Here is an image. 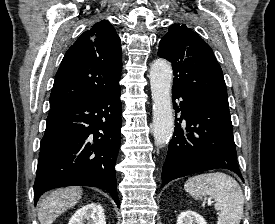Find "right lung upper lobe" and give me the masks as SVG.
Instances as JSON below:
<instances>
[{
	"instance_id": "1",
	"label": "right lung upper lobe",
	"mask_w": 275,
	"mask_h": 224,
	"mask_svg": "<svg viewBox=\"0 0 275 224\" xmlns=\"http://www.w3.org/2000/svg\"><path fill=\"white\" fill-rule=\"evenodd\" d=\"M120 38L108 21L96 23L66 52L50 95V108L85 102L119 87Z\"/></svg>"
}]
</instances>
